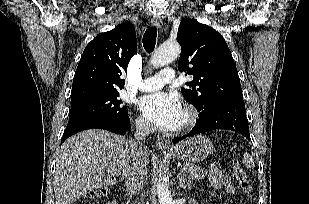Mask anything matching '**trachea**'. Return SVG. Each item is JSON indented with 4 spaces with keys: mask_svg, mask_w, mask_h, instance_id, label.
<instances>
[{
    "mask_svg": "<svg viewBox=\"0 0 309 204\" xmlns=\"http://www.w3.org/2000/svg\"><path fill=\"white\" fill-rule=\"evenodd\" d=\"M157 37L156 27H150L143 36V46L147 52H152L155 48Z\"/></svg>",
    "mask_w": 309,
    "mask_h": 204,
    "instance_id": "trachea-1",
    "label": "trachea"
}]
</instances>
